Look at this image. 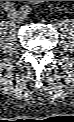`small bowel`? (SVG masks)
<instances>
[{
  "label": "small bowel",
  "instance_id": "1",
  "mask_svg": "<svg viewBox=\"0 0 74 122\" xmlns=\"http://www.w3.org/2000/svg\"><path fill=\"white\" fill-rule=\"evenodd\" d=\"M33 3L37 4V3H42L44 1H32Z\"/></svg>",
  "mask_w": 74,
  "mask_h": 122
}]
</instances>
